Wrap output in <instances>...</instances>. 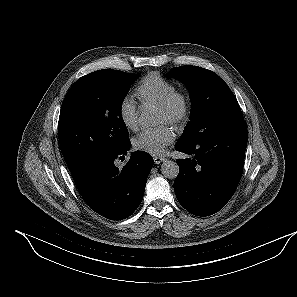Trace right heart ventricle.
Segmentation results:
<instances>
[{
	"mask_svg": "<svg viewBox=\"0 0 297 297\" xmlns=\"http://www.w3.org/2000/svg\"><path fill=\"white\" fill-rule=\"evenodd\" d=\"M175 90L173 83L151 73L145 76L136 86L135 95L144 105H159Z\"/></svg>",
	"mask_w": 297,
	"mask_h": 297,
	"instance_id": "1",
	"label": "right heart ventricle"
}]
</instances>
